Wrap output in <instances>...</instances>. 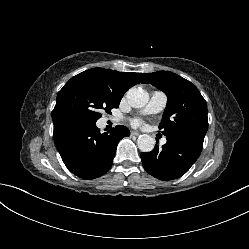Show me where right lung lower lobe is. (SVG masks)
Here are the masks:
<instances>
[{"mask_svg": "<svg viewBox=\"0 0 249 249\" xmlns=\"http://www.w3.org/2000/svg\"><path fill=\"white\" fill-rule=\"evenodd\" d=\"M54 142L66 167L83 179L105 174L112 165L118 142L130 135L118 125L101 134L95 122L65 110H53Z\"/></svg>", "mask_w": 249, "mask_h": 249, "instance_id": "98d812e1", "label": "right lung lower lobe"}]
</instances>
